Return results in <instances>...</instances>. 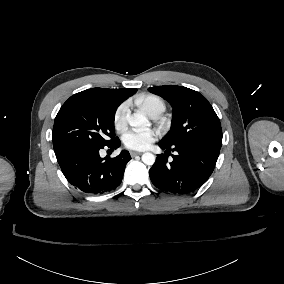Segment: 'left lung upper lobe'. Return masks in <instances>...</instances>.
I'll return each instance as SVG.
<instances>
[{
	"mask_svg": "<svg viewBox=\"0 0 284 284\" xmlns=\"http://www.w3.org/2000/svg\"><path fill=\"white\" fill-rule=\"evenodd\" d=\"M148 90L167 100L173 107L171 130L161 141L168 145L201 143L221 148L220 120L203 95L174 85L150 87Z\"/></svg>",
	"mask_w": 284,
	"mask_h": 284,
	"instance_id": "5c2ea615",
	"label": "left lung upper lobe"
}]
</instances>
